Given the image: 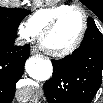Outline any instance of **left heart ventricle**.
I'll list each match as a JSON object with an SVG mask.
<instances>
[{"label":"left heart ventricle","instance_id":"obj_1","mask_svg":"<svg viewBox=\"0 0 103 103\" xmlns=\"http://www.w3.org/2000/svg\"><path fill=\"white\" fill-rule=\"evenodd\" d=\"M83 28V15L74 11L63 18L45 39V45L53 50H63L72 45Z\"/></svg>","mask_w":103,"mask_h":103}]
</instances>
